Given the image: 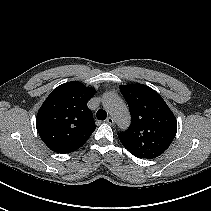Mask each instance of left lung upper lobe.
Segmentation results:
<instances>
[{
  "label": "left lung upper lobe",
  "instance_id": "obj_1",
  "mask_svg": "<svg viewBox=\"0 0 211 211\" xmlns=\"http://www.w3.org/2000/svg\"><path fill=\"white\" fill-rule=\"evenodd\" d=\"M120 91L126 99L131 125L118 133L124 147L138 158H156L173 141L177 132V121L163 98L142 84L121 85Z\"/></svg>",
  "mask_w": 211,
  "mask_h": 211
}]
</instances>
